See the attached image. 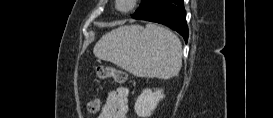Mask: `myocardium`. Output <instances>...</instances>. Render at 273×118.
Returning a JSON list of instances; mask_svg holds the SVG:
<instances>
[{
	"mask_svg": "<svg viewBox=\"0 0 273 118\" xmlns=\"http://www.w3.org/2000/svg\"><path fill=\"white\" fill-rule=\"evenodd\" d=\"M137 0H117L116 9L127 13L133 10L136 6Z\"/></svg>",
	"mask_w": 273,
	"mask_h": 118,
	"instance_id": "obj_1",
	"label": "myocardium"
}]
</instances>
